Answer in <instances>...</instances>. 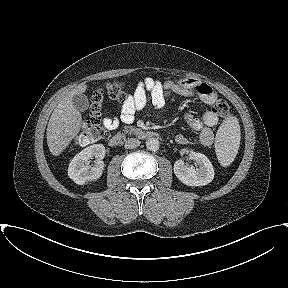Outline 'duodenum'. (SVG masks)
<instances>
[{
  "label": "duodenum",
  "mask_w": 288,
  "mask_h": 288,
  "mask_svg": "<svg viewBox=\"0 0 288 288\" xmlns=\"http://www.w3.org/2000/svg\"><path fill=\"white\" fill-rule=\"evenodd\" d=\"M130 134H133L134 136L141 139L159 138V134L153 130L135 129L130 131ZM126 138H127L126 132L118 133L110 138L109 145L112 147H118L123 144Z\"/></svg>",
  "instance_id": "1"
}]
</instances>
